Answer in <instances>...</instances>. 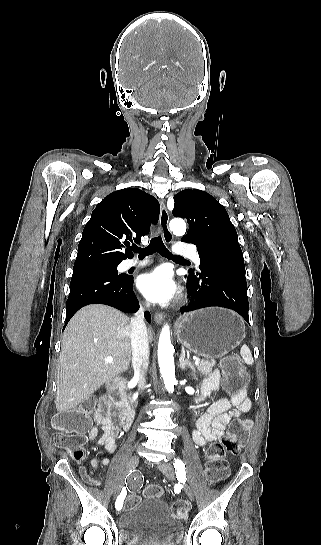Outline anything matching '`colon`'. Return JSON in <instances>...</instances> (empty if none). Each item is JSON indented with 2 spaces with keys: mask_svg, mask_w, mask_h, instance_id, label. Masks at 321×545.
Returning a JSON list of instances; mask_svg holds the SVG:
<instances>
[{
  "mask_svg": "<svg viewBox=\"0 0 321 545\" xmlns=\"http://www.w3.org/2000/svg\"><path fill=\"white\" fill-rule=\"evenodd\" d=\"M224 375L223 386L230 394L246 393L249 377L246 370L236 357H227L221 364ZM94 407L93 400H87L76 409L58 413L53 419V426L56 432L52 440L53 444L66 450L75 460H83L86 456L85 432L90 424V412ZM252 421L249 419L234 420L225 436L219 442L212 443L206 450V476L209 482L217 483L224 480L229 468L226 454H238L248 441ZM84 478L94 483L93 478L83 472ZM146 497H160L163 494L162 487L149 485L144 489ZM140 502L136 494H128L123 501V508L130 509ZM173 515L179 519L187 517V506L183 503H174L171 506Z\"/></svg>",
  "mask_w": 321,
  "mask_h": 545,
  "instance_id": "obj_1",
  "label": "colon"
}]
</instances>
